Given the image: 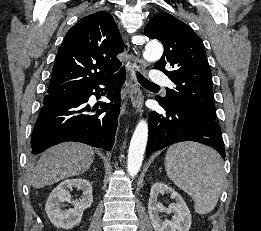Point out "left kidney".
Here are the masks:
<instances>
[{
  "label": "left kidney",
  "mask_w": 261,
  "mask_h": 231,
  "mask_svg": "<svg viewBox=\"0 0 261 231\" xmlns=\"http://www.w3.org/2000/svg\"><path fill=\"white\" fill-rule=\"evenodd\" d=\"M159 193L170 194L175 203H171L168 208L158 201ZM173 214L171 220H162L160 213ZM148 213L155 231H189L191 227V214L182 197L168 185L157 182L151 187L148 202Z\"/></svg>",
  "instance_id": "1"
}]
</instances>
